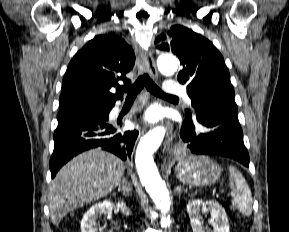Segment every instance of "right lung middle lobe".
<instances>
[{
    "mask_svg": "<svg viewBox=\"0 0 289 232\" xmlns=\"http://www.w3.org/2000/svg\"><path fill=\"white\" fill-rule=\"evenodd\" d=\"M111 108L101 107H83L68 110H60L57 115L58 121L75 120V119H89V118H103L109 114Z\"/></svg>",
    "mask_w": 289,
    "mask_h": 232,
    "instance_id": "obj_1",
    "label": "right lung middle lobe"
}]
</instances>
